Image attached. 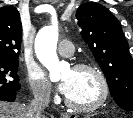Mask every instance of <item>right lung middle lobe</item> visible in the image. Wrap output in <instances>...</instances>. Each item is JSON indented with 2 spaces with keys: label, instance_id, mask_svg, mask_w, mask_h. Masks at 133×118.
Here are the masks:
<instances>
[{
  "label": "right lung middle lobe",
  "instance_id": "right-lung-middle-lobe-1",
  "mask_svg": "<svg viewBox=\"0 0 133 118\" xmlns=\"http://www.w3.org/2000/svg\"><path fill=\"white\" fill-rule=\"evenodd\" d=\"M17 71L18 61L0 59V93H11L21 88Z\"/></svg>",
  "mask_w": 133,
  "mask_h": 118
}]
</instances>
